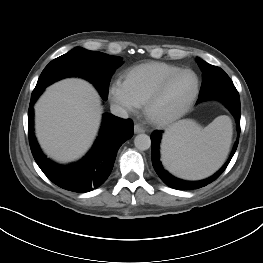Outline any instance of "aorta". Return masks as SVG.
Masks as SVG:
<instances>
[{
    "label": "aorta",
    "mask_w": 263,
    "mask_h": 263,
    "mask_svg": "<svg viewBox=\"0 0 263 263\" xmlns=\"http://www.w3.org/2000/svg\"><path fill=\"white\" fill-rule=\"evenodd\" d=\"M134 145L140 151L148 150L151 146V139L146 134H138L134 139Z\"/></svg>",
    "instance_id": "1"
}]
</instances>
